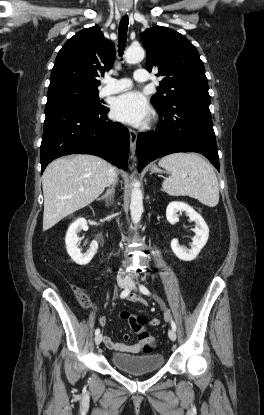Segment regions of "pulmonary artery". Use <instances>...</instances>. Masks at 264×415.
Returning a JSON list of instances; mask_svg holds the SVG:
<instances>
[{
	"label": "pulmonary artery",
	"mask_w": 264,
	"mask_h": 415,
	"mask_svg": "<svg viewBox=\"0 0 264 415\" xmlns=\"http://www.w3.org/2000/svg\"><path fill=\"white\" fill-rule=\"evenodd\" d=\"M134 80L138 82H146L148 75L143 71H137L134 73ZM133 81L129 78H113L107 77L105 79V86L101 90L102 95L116 94L132 87Z\"/></svg>",
	"instance_id": "obj_1"
}]
</instances>
